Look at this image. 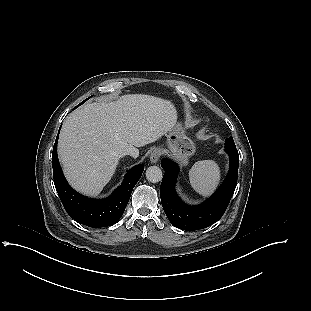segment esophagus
<instances>
[{"mask_svg": "<svg viewBox=\"0 0 311 311\" xmlns=\"http://www.w3.org/2000/svg\"><path fill=\"white\" fill-rule=\"evenodd\" d=\"M160 156H161V149L160 148L154 149L150 155L151 163H156L159 160Z\"/></svg>", "mask_w": 311, "mask_h": 311, "instance_id": "34e87169", "label": "esophagus"}]
</instances>
